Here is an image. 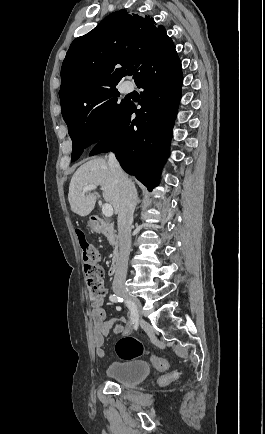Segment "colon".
Listing matches in <instances>:
<instances>
[{
	"label": "colon",
	"mask_w": 265,
	"mask_h": 434,
	"mask_svg": "<svg viewBox=\"0 0 265 434\" xmlns=\"http://www.w3.org/2000/svg\"><path fill=\"white\" fill-rule=\"evenodd\" d=\"M76 237L84 262L85 280L89 295L95 302H100L107 294V290L103 280V270L100 267L99 250L88 240L82 229L76 230ZM114 349L120 360L126 362L139 359L143 355H148L152 365L157 370H166L169 367L168 360L157 359L149 355L146 346L135 336H124L116 342ZM178 375L177 371H173L161 378L160 381L164 384L169 383L177 378Z\"/></svg>",
	"instance_id": "1"
}]
</instances>
